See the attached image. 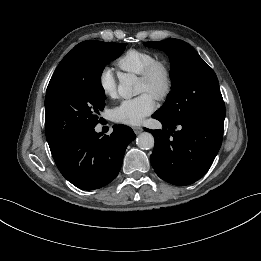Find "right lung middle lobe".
Returning <instances> with one entry per match:
<instances>
[{
	"label": "right lung middle lobe",
	"instance_id": "dd1d6c3e",
	"mask_svg": "<svg viewBox=\"0 0 261 261\" xmlns=\"http://www.w3.org/2000/svg\"><path fill=\"white\" fill-rule=\"evenodd\" d=\"M126 43L85 41L76 46L73 68L47 88L46 138L51 150L102 121L106 98L101 74L106 62L121 55Z\"/></svg>",
	"mask_w": 261,
	"mask_h": 261
}]
</instances>
